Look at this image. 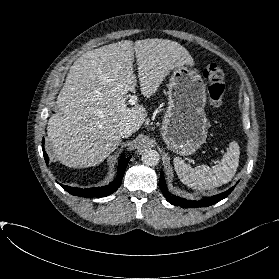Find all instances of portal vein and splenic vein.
<instances>
[{
	"label": "portal vein and splenic vein",
	"instance_id": "18ae733b",
	"mask_svg": "<svg viewBox=\"0 0 279 279\" xmlns=\"http://www.w3.org/2000/svg\"><path fill=\"white\" fill-rule=\"evenodd\" d=\"M129 104L134 105L137 102V97L135 95L130 96Z\"/></svg>",
	"mask_w": 279,
	"mask_h": 279
}]
</instances>
